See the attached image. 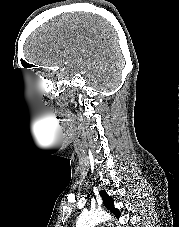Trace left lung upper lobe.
<instances>
[{
    "label": "left lung upper lobe",
    "mask_w": 179,
    "mask_h": 227,
    "mask_svg": "<svg viewBox=\"0 0 179 227\" xmlns=\"http://www.w3.org/2000/svg\"><path fill=\"white\" fill-rule=\"evenodd\" d=\"M100 196L103 199L104 206L110 210L116 217H120V211L114 207L113 199L106 193L105 190L100 191Z\"/></svg>",
    "instance_id": "1"
}]
</instances>
